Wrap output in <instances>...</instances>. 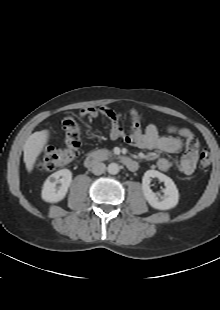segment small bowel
I'll return each instance as SVG.
<instances>
[{"label":"small bowel","mask_w":220,"mask_h":310,"mask_svg":"<svg viewBox=\"0 0 220 310\" xmlns=\"http://www.w3.org/2000/svg\"><path fill=\"white\" fill-rule=\"evenodd\" d=\"M134 123L129 132H125L119 124L118 115L107 107H87L78 112L81 119L96 118L104 116L110 121L109 136L111 139H123L129 145L139 149L159 150L166 153H176L184 150V154L178 165L179 171L184 175H191L195 171L198 161L199 143L190 130L171 126L168 128L170 135L161 136L155 124H149L145 130L140 126V113L132 109L130 111ZM158 168L167 171L171 162L167 158H160L157 162Z\"/></svg>","instance_id":"1"}]
</instances>
